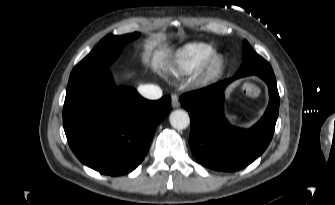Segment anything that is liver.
Returning a JSON list of instances; mask_svg holds the SVG:
<instances>
[{"instance_id":"6515ba94","label":"liver","mask_w":335,"mask_h":205,"mask_svg":"<svg viewBox=\"0 0 335 205\" xmlns=\"http://www.w3.org/2000/svg\"><path fill=\"white\" fill-rule=\"evenodd\" d=\"M166 53L164 50H158L154 53L151 65L154 70H157L163 66L162 59L165 57Z\"/></svg>"}]
</instances>
